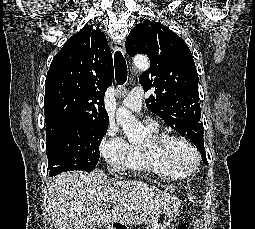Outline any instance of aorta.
<instances>
[{"label": "aorta", "instance_id": "762f6f07", "mask_svg": "<svg viewBox=\"0 0 255 229\" xmlns=\"http://www.w3.org/2000/svg\"><path fill=\"white\" fill-rule=\"evenodd\" d=\"M135 70H147L149 67L148 59L144 56L135 57L133 60ZM116 120L125 132L130 142H139L143 138V127L135 119L130 111L120 107L116 111Z\"/></svg>", "mask_w": 255, "mask_h": 229}]
</instances>
